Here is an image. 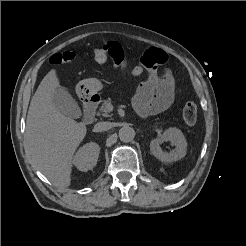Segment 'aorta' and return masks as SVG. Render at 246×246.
Returning a JSON list of instances; mask_svg holds the SVG:
<instances>
[{
	"label": "aorta",
	"instance_id": "762f6f07",
	"mask_svg": "<svg viewBox=\"0 0 246 246\" xmlns=\"http://www.w3.org/2000/svg\"><path fill=\"white\" fill-rule=\"evenodd\" d=\"M135 137V131L132 127L124 126L119 130V138L122 142H130Z\"/></svg>",
	"mask_w": 246,
	"mask_h": 246
}]
</instances>
